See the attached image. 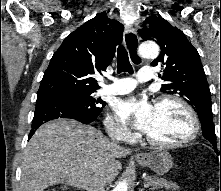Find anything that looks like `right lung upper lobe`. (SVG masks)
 I'll return each mask as SVG.
<instances>
[{
  "label": "right lung upper lobe",
  "instance_id": "1",
  "mask_svg": "<svg viewBox=\"0 0 221 191\" xmlns=\"http://www.w3.org/2000/svg\"><path fill=\"white\" fill-rule=\"evenodd\" d=\"M123 29L118 21H109L105 14H100L73 31L54 53L37 97L67 92L94 93L100 86L93 75L106 70L111 63Z\"/></svg>",
  "mask_w": 221,
  "mask_h": 191
}]
</instances>
